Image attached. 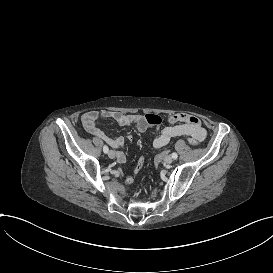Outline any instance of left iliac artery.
<instances>
[{
    "label": "left iliac artery",
    "mask_w": 273,
    "mask_h": 273,
    "mask_svg": "<svg viewBox=\"0 0 273 273\" xmlns=\"http://www.w3.org/2000/svg\"><path fill=\"white\" fill-rule=\"evenodd\" d=\"M171 156H172V158H173V159H177V157H178L177 153H175V152H174V153H172V155H171Z\"/></svg>",
    "instance_id": "1"
}]
</instances>
